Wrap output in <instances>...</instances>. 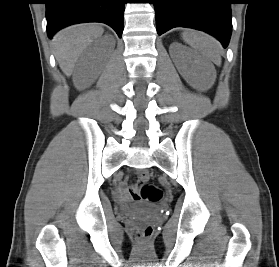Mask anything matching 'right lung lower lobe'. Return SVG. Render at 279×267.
<instances>
[{
    "label": "right lung lower lobe",
    "mask_w": 279,
    "mask_h": 267,
    "mask_svg": "<svg viewBox=\"0 0 279 267\" xmlns=\"http://www.w3.org/2000/svg\"><path fill=\"white\" fill-rule=\"evenodd\" d=\"M49 38L75 23L102 22L122 36L125 0H45Z\"/></svg>",
    "instance_id": "obj_1"
}]
</instances>
